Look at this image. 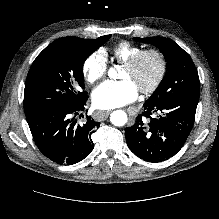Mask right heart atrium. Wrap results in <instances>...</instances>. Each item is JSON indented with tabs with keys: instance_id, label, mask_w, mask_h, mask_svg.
Instances as JSON below:
<instances>
[{
	"instance_id": "d8ad5b80",
	"label": "right heart atrium",
	"mask_w": 219,
	"mask_h": 219,
	"mask_svg": "<svg viewBox=\"0 0 219 219\" xmlns=\"http://www.w3.org/2000/svg\"><path fill=\"white\" fill-rule=\"evenodd\" d=\"M107 69L108 60L105 51L96 50L84 62V78L88 83L94 84L105 77Z\"/></svg>"
}]
</instances>
